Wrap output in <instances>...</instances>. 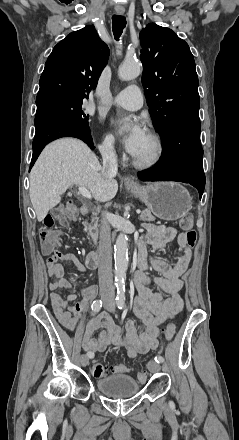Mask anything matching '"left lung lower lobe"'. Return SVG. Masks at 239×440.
Instances as JSON below:
<instances>
[{
	"instance_id": "left-lung-lower-lobe-1",
	"label": "left lung lower lobe",
	"mask_w": 239,
	"mask_h": 440,
	"mask_svg": "<svg viewBox=\"0 0 239 440\" xmlns=\"http://www.w3.org/2000/svg\"><path fill=\"white\" fill-rule=\"evenodd\" d=\"M199 119H184L171 124L161 136L163 153L160 163L150 171L139 173L147 181H180L190 183L199 191L205 187L203 149L200 142Z\"/></svg>"
}]
</instances>
